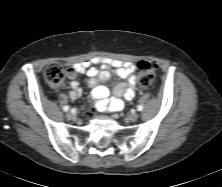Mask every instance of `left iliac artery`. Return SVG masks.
Listing matches in <instances>:
<instances>
[{"label":"left iliac artery","mask_w":222,"mask_h":187,"mask_svg":"<svg viewBox=\"0 0 222 187\" xmlns=\"http://www.w3.org/2000/svg\"><path fill=\"white\" fill-rule=\"evenodd\" d=\"M137 110H138V111H142V110H143V106H142V105H139V106L137 107Z\"/></svg>","instance_id":"1"}]
</instances>
